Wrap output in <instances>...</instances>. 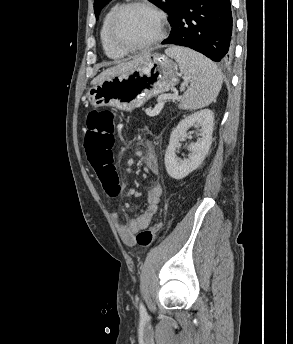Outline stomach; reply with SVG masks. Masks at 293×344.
<instances>
[{"label": "stomach", "mask_w": 293, "mask_h": 344, "mask_svg": "<svg viewBox=\"0 0 293 344\" xmlns=\"http://www.w3.org/2000/svg\"><path fill=\"white\" fill-rule=\"evenodd\" d=\"M182 73L167 56L149 53L135 69L94 85L87 97L95 107L112 106L131 112L153 96L176 86Z\"/></svg>", "instance_id": "stomach-1"}]
</instances>
